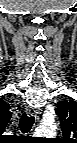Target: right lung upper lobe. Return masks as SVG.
<instances>
[{"instance_id": "1", "label": "right lung upper lobe", "mask_w": 77, "mask_h": 143, "mask_svg": "<svg viewBox=\"0 0 77 143\" xmlns=\"http://www.w3.org/2000/svg\"><path fill=\"white\" fill-rule=\"evenodd\" d=\"M10 106L3 100H0V128L5 129L8 121L11 118Z\"/></svg>"}]
</instances>
